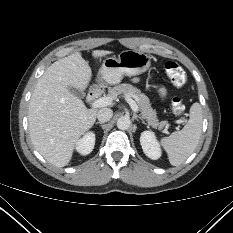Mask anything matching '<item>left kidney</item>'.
Masks as SVG:
<instances>
[{"mask_svg": "<svg viewBox=\"0 0 233 233\" xmlns=\"http://www.w3.org/2000/svg\"><path fill=\"white\" fill-rule=\"evenodd\" d=\"M140 143L145 155L153 160L161 157V148L155 134L151 131H144L140 136Z\"/></svg>", "mask_w": 233, "mask_h": 233, "instance_id": "1", "label": "left kidney"}]
</instances>
